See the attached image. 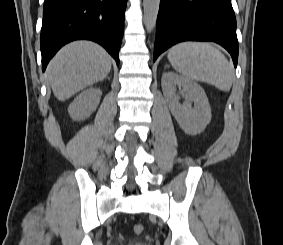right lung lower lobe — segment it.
<instances>
[{"label":"right lung lower lobe","mask_w":283,"mask_h":245,"mask_svg":"<svg viewBox=\"0 0 283 245\" xmlns=\"http://www.w3.org/2000/svg\"><path fill=\"white\" fill-rule=\"evenodd\" d=\"M127 0H45L40 43L42 70L66 43L88 39L119 64Z\"/></svg>","instance_id":"98d812e1"}]
</instances>
